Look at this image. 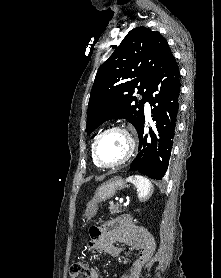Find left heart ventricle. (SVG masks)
I'll return each mask as SVG.
<instances>
[{"label":"left heart ventricle","instance_id":"obj_1","mask_svg":"<svg viewBox=\"0 0 221 278\" xmlns=\"http://www.w3.org/2000/svg\"><path fill=\"white\" fill-rule=\"evenodd\" d=\"M128 150L126 137L119 132H109L99 141L97 155L101 163L111 165L122 160Z\"/></svg>","mask_w":221,"mask_h":278}]
</instances>
